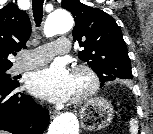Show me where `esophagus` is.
<instances>
[{"mask_svg": "<svg viewBox=\"0 0 153 134\" xmlns=\"http://www.w3.org/2000/svg\"><path fill=\"white\" fill-rule=\"evenodd\" d=\"M56 115V112H50V116L54 117Z\"/></svg>", "mask_w": 153, "mask_h": 134, "instance_id": "34e87169", "label": "esophagus"}]
</instances>
